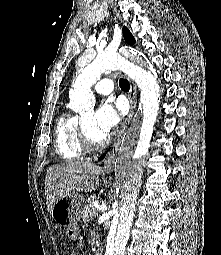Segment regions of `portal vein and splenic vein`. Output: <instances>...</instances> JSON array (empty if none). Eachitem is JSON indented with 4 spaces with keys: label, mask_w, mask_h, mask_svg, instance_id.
<instances>
[{
    "label": "portal vein and splenic vein",
    "mask_w": 221,
    "mask_h": 255,
    "mask_svg": "<svg viewBox=\"0 0 221 255\" xmlns=\"http://www.w3.org/2000/svg\"><path fill=\"white\" fill-rule=\"evenodd\" d=\"M93 216H96L97 214H98V211H97V209L95 208L94 210H93Z\"/></svg>",
    "instance_id": "18ae733b"
}]
</instances>
